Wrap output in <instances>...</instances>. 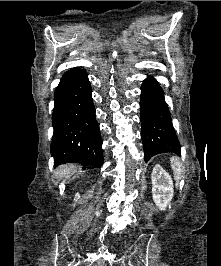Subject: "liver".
Returning a JSON list of instances; mask_svg holds the SVG:
<instances>
[{
  "instance_id": "1",
  "label": "liver",
  "mask_w": 221,
  "mask_h": 266,
  "mask_svg": "<svg viewBox=\"0 0 221 266\" xmlns=\"http://www.w3.org/2000/svg\"><path fill=\"white\" fill-rule=\"evenodd\" d=\"M77 170V166L74 164H66L58 167L55 171V176L57 178L68 179L71 177Z\"/></svg>"
}]
</instances>
